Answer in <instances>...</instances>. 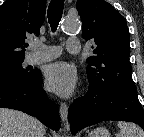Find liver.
Returning a JSON list of instances; mask_svg holds the SVG:
<instances>
[{"label": "liver", "instance_id": "liver-1", "mask_svg": "<svg viewBox=\"0 0 144 137\" xmlns=\"http://www.w3.org/2000/svg\"><path fill=\"white\" fill-rule=\"evenodd\" d=\"M44 125L20 111L0 108V137H44Z\"/></svg>", "mask_w": 144, "mask_h": 137}]
</instances>
